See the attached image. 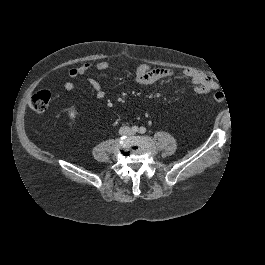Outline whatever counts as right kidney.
Returning a JSON list of instances; mask_svg holds the SVG:
<instances>
[{
	"label": "right kidney",
	"instance_id": "ca27d5eb",
	"mask_svg": "<svg viewBox=\"0 0 265 265\" xmlns=\"http://www.w3.org/2000/svg\"><path fill=\"white\" fill-rule=\"evenodd\" d=\"M75 116H76V111H75L74 109H70V110H69V117H70L71 119H74Z\"/></svg>",
	"mask_w": 265,
	"mask_h": 265
}]
</instances>
